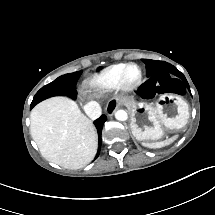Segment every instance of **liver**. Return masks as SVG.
<instances>
[{
  "label": "liver",
  "mask_w": 215,
  "mask_h": 215,
  "mask_svg": "<svg viewBox=\"0 0 215 215\" xmlns=\"http://www.w3.org/2000/svg\"><path fill=\"white\" fill-rule=\"evenodd\" d=\"M30 133L44 158L67 169L86 166L97 153L93 121L67 96H52L35 105L30 113Z\"/></svg>",
  "instance_id": "6515ba94"
}]
</instances>
